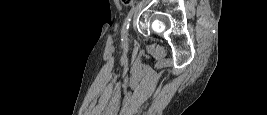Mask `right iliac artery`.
Listing matches in <instances>:
<instances>
[{
    "label": "right iliac artery",
    "instance_id": "right-iliac-artery-1",
    "mask_svg": "<svg viewBox=\"0 0 267 115\" xmlns=\"http://www.w3.org/2000/svg\"><path fill=\"white\" fill-rule=\"evenodd\" d=\"M134 11H135V8L133 7L129 11V13H128L126 19H125V23H124L123 28H122V41L127 40V38H126L127 37V30L129 29V24H130L131 17L133 15Z\"/></svg>",
    "mask_w": 267,
    "mask_h": 115
}]
</instances>
